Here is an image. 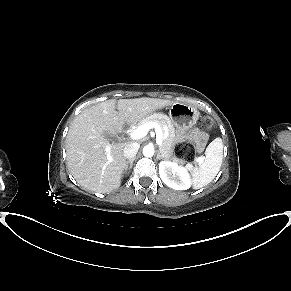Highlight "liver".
<instances>
[{
    "instance_id": "liver-1",
    "label": "liver",
    "mask_w": 291,
    "mask_h": 291,
    "mask_svg": "<svg viewBox=\"0 0 291 291\" xmlns=\"http://www.w3.org/2000/svg\"><path fill=\"white\" fill-rule=\"evenodd\" d=\"M174 103L147 97L111 99L83 110L73 120L66 137L67 166L77 183L99 193L119 188L122 173L128 169L123 154L128 143L110 144L105 135L117 136L125 124L137 123Z\"/></svg>"
}]
</instances>
